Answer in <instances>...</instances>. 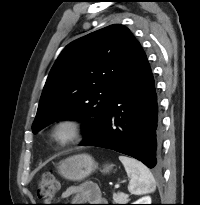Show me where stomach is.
Segmentation results:
<instances>
[{"label":"stomach","instance_id":"stomach-1","mask_svg":"<svg viewBox=\"0 0 200 205\" xmlns=\"http://www.w3.org/2000/svg\"><path fill=\"white\" fill-rule=\"evenodd\" d=\"M97 165L88 154H78L62 160L58 164V172L66 179L79 181L95 171ZM111 166L106 165L103 172H109Z\"/></svg>","mask_w":200,"mask_h":205}]
</instances>
